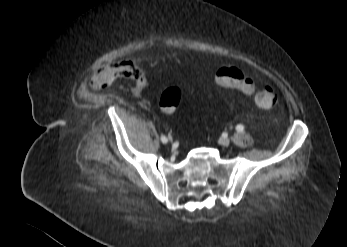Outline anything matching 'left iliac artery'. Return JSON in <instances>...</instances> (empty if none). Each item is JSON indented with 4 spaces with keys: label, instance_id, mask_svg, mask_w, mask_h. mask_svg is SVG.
<instances>
[{
    "label": "left iliac artery",
    "instance_id": "left-iliac-artery-1",
    "mask_svg": "<svg viewBox=\"0 0 347 247\" xmlns=\"http://www.w3.org/2000/svg\"><path fill=\"white\" fill-rule=\"evenodd\" d=\"M236 130H237L238 132H243V131H244V126H243L242 124H238V125L236 126Z\"/></svg>",
    "mask_w": 347,
    "mask_h": 247
}]
</instances>
